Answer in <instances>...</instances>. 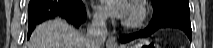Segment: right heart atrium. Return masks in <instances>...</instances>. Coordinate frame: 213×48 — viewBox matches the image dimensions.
Segmentation results:
<instances>
[{
  "label": "right heart atrium",
  "instance_id": "right-heart-atrium-1",
  "mask_svg": "<svg viewBox=\"0 0 213 48\" xmlns=\"http://www.w3.org/2000/svg\"><path fill=\"white\" fill-rule=\"evenodd\" d=\"M93 19L96 23H102L104 20V15L101 12H95L93 15Z\"/></svg>",
  "mask_w": 213,
  "mask_h": 48
}]
</instances>
